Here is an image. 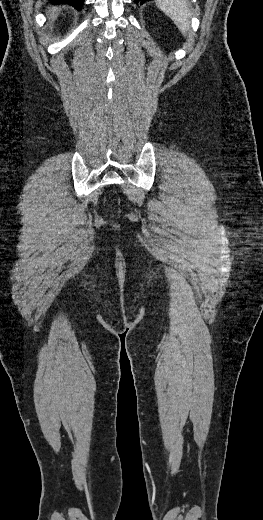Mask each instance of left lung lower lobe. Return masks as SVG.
Wrapping results in <instances>:
<instances>
[{
	"mask_svg": "<svg viewBox=\"0 0 263 520\" xmlns=\"http://www.w3.org/2000/svg\"><path fill=\"white\" fill-rule=\"evenodd\" d=\"M139 1L141 2L140 4H143L147 0H135V3L138 4Z\"/></svg>",
	"mask_w": 263,
	"mask_h": 520,
	"instance_id": "0a47b994",
	"label": "left lung lower lobe"
}]
</instances>
